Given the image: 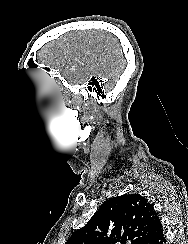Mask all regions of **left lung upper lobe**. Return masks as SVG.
Instances as JSON below:
<instances>
[{
    "label": "left lung upper lobe",
    "mask_w": 188,
    "mask_h": 244,
    "mask_svg": "<svg viewBox=\"0 0 188 244\" xmlns=\"http://www.w3.org/2000/svg\"><path fill=\"white\" fill-rule=\"evenodd\" d=\"M157 216L153 205L140 194L113 197L66 244H146Z\"/></svg>",
    "instance_id": "1"
}]
</instances>
